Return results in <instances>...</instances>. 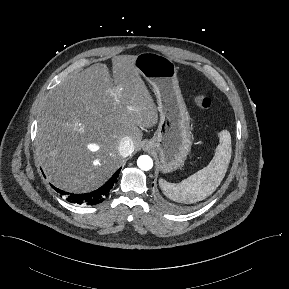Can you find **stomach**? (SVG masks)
<instances>
[{
    "instance_id": "1",
    "label": "stomach",
    "mask_w": 289,
    "mask_h": 289,
    "mask_svg": "<svg viewBox=\"0 0 289 289\" xmlns=\"http://www.w3.org/2000/svg\"><path fill=\"white\" fill-rule=\"evenodd\" d=\"M134 66L153 87L160 114L153 138L146 150L158 152L159 168L170 173L180 168L191 150L190 117L181 94L174 62L155 52L135 56Z\"/></svg>"
}]
</instances>
